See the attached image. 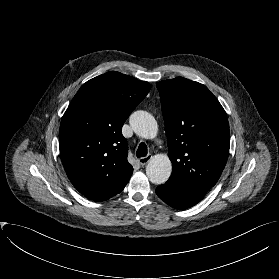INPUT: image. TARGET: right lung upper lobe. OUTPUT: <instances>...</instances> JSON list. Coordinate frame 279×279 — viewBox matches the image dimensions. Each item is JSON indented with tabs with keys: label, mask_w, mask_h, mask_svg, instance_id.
Returning <instances> with one entry per match:
<instances>
[{
	"label": "right lung upper lobe",
	"mask_w": 279,
	"mask_h": 279,
	"mask_svg": "<svg viewBox=\"0 0 279 279\" xmlns=\"http://www.w3.org/2000/svg\"><path fill=\"white\" fill-rule=\"evenodd\" d=\"M151 85L110 71L87 81L70 102L60 125L59 148L73 186L93 201L120 193L133 167L122 126Z\"/></svg>",
	"instance_id": "obj_1"
}]
</instances>
